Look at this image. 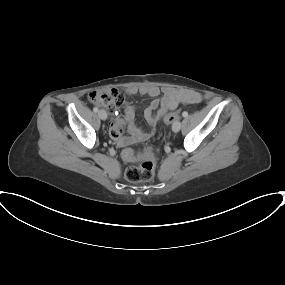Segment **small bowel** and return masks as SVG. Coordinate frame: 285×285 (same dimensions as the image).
Returning <instances> with one entry per match:
<instances>
[{
    "label": "small bowel",
    "instance_id": "c3829d8e",
    "mask_svg": "<svg viewBox=\"0 0 285 285\" xmlns=\"http://www.w3.org/2000/svg\"><path fill=\"white\" fill-rule=\"evenodd\" d=\"M130 95L140 93L152 98L149 105L144 109V117L147 123L153 130L157 127L162 117L168 112L177 108L179 104H196L201 102L202 97L199 93L189 90H177L166 88L163 95L160 97L161 90L159 87L150 85L141 88L131 87L127 89ZM121 96V104L124 108V116H117L110 127L111 132L122 131L124 127L127 128L129 136L121 138V136L114 139L118 140L121 145H130L136 142L145 141L150 138L152 132H145L135 124L136 109L124 97Z\"/></svg>",
    "mask_w": 285,
    "mask_h": 285
}]
</instances>
